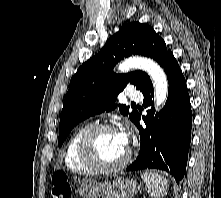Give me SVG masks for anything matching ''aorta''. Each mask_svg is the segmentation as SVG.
<instances>
[{"mask_svg":"<svg viewBox=\"0 0 221 198\" xmlns=\"http://www.w3.org/2000/svg\"><path fill=\"white\" fill-rule=\"evenodd\" d=\"M132 68L148 73L154 83L156 107L163 106L168 96V81L163 69L153 60L144 57L129 58L118 66L121 72H127Z\"/></svg>","mask_w":221,"mask_h":198,"instance_id":"762f6f07","label":"aorta"}]
</instances>
